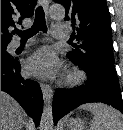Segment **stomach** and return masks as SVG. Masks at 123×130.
Instances as JSON below:
<instances>
[{
  "mask_svg": "<svg viewBox=\"0 0 123 130\" xmlns=\"http://www.w3.org/2000/svg\"><path fill=\"white\" fill-rule=\"evenodd\" d=\"M68 130H84V121L78 118L67 121Z\"/></svg>",
  "mask_w": 123,
  "mask_h": 130,
  "instance_id": "0dacf381",
  "label": "stomach"
}]
</instances>
